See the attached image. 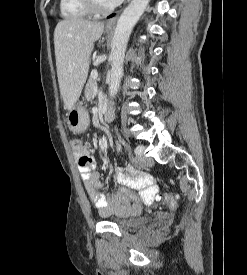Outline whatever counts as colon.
Instances as JSON below:
<instances>
[{"mask_svg": "<svg viewBox=\"0 0 247 275\" xmlns=\"http://www.w3.org/2000/svg\"><path fill=\"white\" fill-rule=\"evenodd\" d=\"M71 146L73 151L80 156L81 160L85 161L86 156L84 144L78 139H73L71 141ZM119 194L132 202L137 201V195L131 188L121 186L119 188ZM159 199L162 200L172 210L178 207V195L176 194L165 193L159 196Z\"/></svg>", "mask_w": 247, "mask_h": 275, "instance_id": "1", "label": "colon"}]
</instances>
